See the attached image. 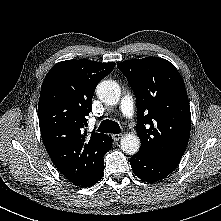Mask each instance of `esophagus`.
<instances>
[{
	"mask_svg": "<svg viewBox=\"0 0 221 221\" xmlns=\"http://www.w3.org/2000/svg\"><path fill=\"white\" fill-rule=\"evenodd\" d=\"M122 134H113L112 137H113V140L115 141H119L121 138H122Z\"/></svg>",
	"mask_w": 221,
	"mask_h": 221,
	"instance_id": "34e87169",
	"label": "esophagus"
}]
</instances>
